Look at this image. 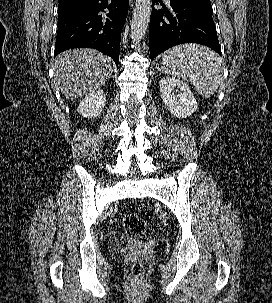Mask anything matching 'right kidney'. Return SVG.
<instances>
[{"instance_id":"obj_1","label":"right kidney","mask_w":272,"mask_h":303,"mask_svg":"<svg viewBox=\"0 0 272 303\" xmlns=\"http://www.w3.org/2000/svg\"><path fill=\"white\" fill-rule=\"evenodd\" d=\"M106 103L105 92L101 89L95 90L79 103L78 113L85 118H95L101 114Z\"/></svg>"}]
</instances>
